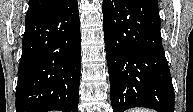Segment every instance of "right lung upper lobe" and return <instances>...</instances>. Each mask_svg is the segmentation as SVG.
Segmentation results:
<instances>
[{"label":"right lung upper lobe","mask_w":193,"mask_h":112,"mask_svg":"<svg viewBox=\"0 0 193 112\" xmlns=\"http://www.w3.org/2000/svg\"><path fill=\"white\" fill-rule=\"evenodd\" d=\"M62 0H29L26 19L40 15L57 6Z\"/></svg>","instance_id":"cb5924a9"}]
</instances>
